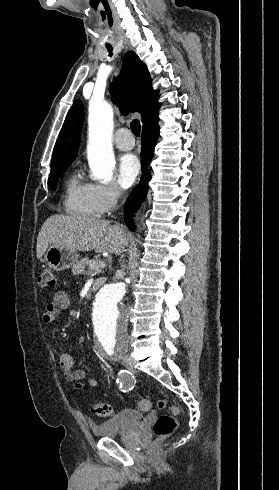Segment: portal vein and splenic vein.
<instances>
[{
    "instance_id": "1",
    "label": "portal vein and splenic vein",
    "mask_w": 279,
    "mask_h": 490,
    "mask_svg": "<svg viewBox=\"0 0 279 490\" xmlns=\"http://www.w3.org/2000/svg\"><path fill=\"white\" fill-rule=\"evenodd\" d=\"M95 264H97V262H91L90 266H95ZM99 264H104V262H99Z\"/></svg>"
}]
</instances>
